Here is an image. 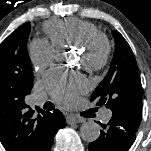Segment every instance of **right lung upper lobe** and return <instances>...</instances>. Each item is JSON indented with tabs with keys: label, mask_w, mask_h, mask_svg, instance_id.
<instances>
[{
	"label": "right lung upper lobe",
	"mask_w": 151,
	"mask_h": 151,
	"mask_svg": "<svg viewBox=\"0 0 151 151\" xmlns=\"http://www.w3.org/2000/svg\"><path fill=\"white\" fill-rule=\"evenodd\" d=\"M25 96L0 95V141L7 151H43L45 146V111L35 114Z\"/></svg>",
	"instance_id": "right-lung-upper-lobe-1"
}]
</instances>
